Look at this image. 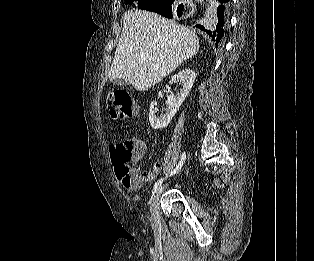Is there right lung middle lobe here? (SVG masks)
<instances>
[{
  "instance_id": "obj_1",
  "label": "right lung middle lobe",
  "mask_w": 314,
  "mask_h": 261,
  "mask_svg": "<svg viewBox=\"0 0 314 261\" xmlns=\"http://www.w3.org/2000/svg\"><path fill=\"white\" fill-rule=\"evenodd\" d=\"M134 1H137L138 8L147 9L150 6L156 5L163 0H126V2L129 4H132Z\"/></svg>"
}]
</instances>
